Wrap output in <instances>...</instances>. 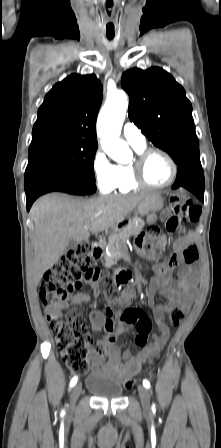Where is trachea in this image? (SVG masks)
<instances>
[{
  "label": "trachea",
  "mask_w": 221,
  "mask_h": 448,
  "mask_svg": "<svg viewBox=\"0 0 221 448\" xmlns=\"http://www.w3.org/2000/svg\"><path fill=\"white\" fill-rule=\"evenodd\" d=\"M107 37H108V39H112L113 38V36H111V35H108Z\"/></svg>",
  "instance_id": "trachea-1"
}]
</instances>
